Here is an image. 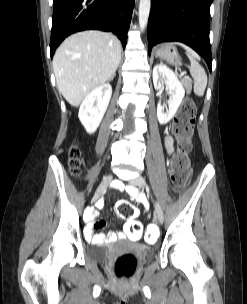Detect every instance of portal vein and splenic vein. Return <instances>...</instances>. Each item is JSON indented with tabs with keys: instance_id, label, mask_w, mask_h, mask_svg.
Segmentation results:
<instances>
[{
	"instance_id": "obj_1",
	"label": "portal vein and splenic vein",
	"mask_w": 247,
	"mask_h": 304,
	"mask_svg": "<svg viewBox=\"0 0 247 304\" xmlns=\"http://www.w3.org/2000/svg\"><path fill=\"white\" fill-rule=\"evenodd\" d=\"M184 74H185L184 72H181V73H180V76H184Z\"/></svg>"
}]
</instances>
